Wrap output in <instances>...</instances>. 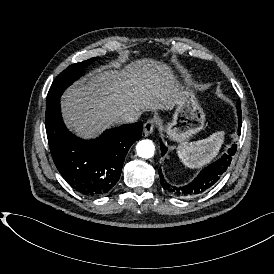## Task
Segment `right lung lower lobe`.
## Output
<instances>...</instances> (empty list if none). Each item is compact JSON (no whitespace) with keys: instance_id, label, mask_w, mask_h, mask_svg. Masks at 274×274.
Here are the masks:
<instances>
[{"instance_id":"98d812e1","label":"right lung lower lobe","mask_w":274,"mask_h":274,"mask_svg":"<svg viewBox=\"0 0 274 274\" xmlns=\"http://www.w3.org/2000/svg\"><path fill=\"white\" fill-rule=\"evenodd\" d=\"M46 133L53 161L70 186L88 197L109 194L118 182L130 146L141 138V121L105 131L95 140H82L65 127L60 97L46 105Z\"/></svg>"}]
</instances>
